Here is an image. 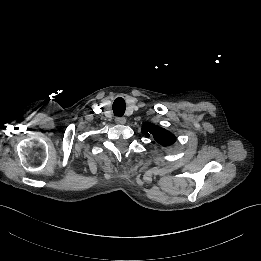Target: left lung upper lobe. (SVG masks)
I'll list each match as a JSON object with an SVG mask.
<instances>
[{
	"label": "left lung upper lobe",
	"mask_w": 261,
	"mask_h": 261,
	"mask_svg": "<svg viewBox=\"0 0 261 261\" xmlns=\"http://www.w3.org/2000/svg\"><path fill=\"white\" fill-rule=\"evenodd\" d=\"M142 133L146 137H153L162 146H169L176 141L175 136L171 132L150 122L143 125Z\"/></svg>",
	"instance_id": "left-lung-upper-lobe-1"
}]
</instances>
